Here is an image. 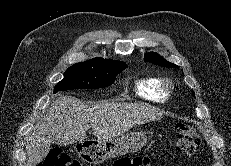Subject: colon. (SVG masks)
I'll return each mask as SVG.
<instances>
[{"label": "colon", "instance_id": "5ec220e1", "mask_svg": "<svg viewBox=\"0 0 231 166\" xmlns=\"http://www.w3.org/2000/svg\"><path fill=\"white\" fill-rule=\"evenodd\" d=\"M179 134L176 148L182 155H192L200 143L196 130L185 124L177 125ZM39 166H81V163L73 159L61 148L50 149L45 160ZM113 166H149V159L142 156H123L116 159Z\"/></svg>", "mask_w": 231, "mask_h": 166}]
</instances>
